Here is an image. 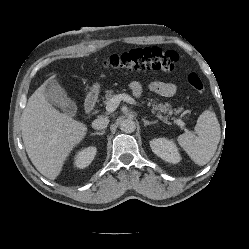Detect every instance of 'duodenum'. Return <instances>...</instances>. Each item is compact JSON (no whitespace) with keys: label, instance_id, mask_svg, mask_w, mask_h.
<instances>
[{"label":"duodenum","instance_id":"duodenum-1","mask_svg":"<svg viewBox=\"0 0 249 249\" xmlns=\"http://www.w3.org/2000/svg\"><path fill=\"white\" fill-rule=\"evenodd\" d=\"M97 99H98V94L95 91H91L87 95L84 103V111L87 115H91L93 113Z\"/></svg>","mask_w":249,"mask_h":249}]
</instances>
